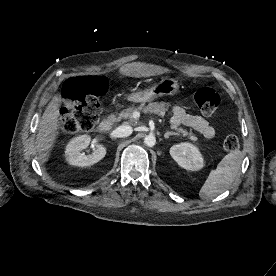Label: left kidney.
Wrapping results in <instances>:
<instances>
[{
    "label": "left kidney",
    "mask_w": 276,
    "mask_h": 276,
    "mask_svg": "<svg viewBox=\"0 0 276 276\" xmlns=\"http://www.w3.org/2000/svg\"><path fill=\"white\" fill-rule=\"evenodd\" d=\"M172 158L184 169L197 171L203 168V157L191 143H179L170 148Z\"/></svg>",
    "instance_id": "1"
}]
</instances>
